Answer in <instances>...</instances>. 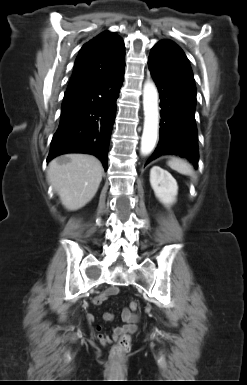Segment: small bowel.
Returning a JSON list of instances; mask_svg holds the SVG:
<instances>
[{"mask_svg":"<svg viewBox=\"0 0 247 385\" xmlns=\"http://www.w3.org/2000/svg\"><path fill=\"white\" fill-rule=\"evenodd\" d=\"M120 292L118 287H109L102 294L94 297L92 303L96 306H100L105 300L109 297L114 296ZM103 319L107 322L114 320V314L111 312L103 313ZM122 320L124 324L121 326H116L112 329L110 334H105L101 326H96V338L102 345H107L109 343L115 342L119 336L122 334H133L137 330V320L138 316L130 313L127 309L122 311ZM88 322H94V316L90 315L88 317Z\"/></svg>","mask_w":247,"mask_h":385,"instance_id":"c3829d8e","label":"small bowel"}]
</instances>
